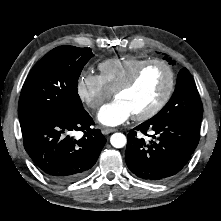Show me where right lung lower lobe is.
<instances>
[{
    "label": "right lung lower lobe",
    "mask_w": 221,
    "mask_h": 221,
    "mask_svg": "<svg viewBox=\"0 0 221 221\" xmlns=\"http://www.w3.org/2000/svg\"><path fill=\"white\" fill-rule=\"evenodd\" d=\"M83 109L69 116H52L21 127L24 148L49 179L69 183L82 178L96 163L106 142ZM82 131L80 139L70 136Z\"/></svg>",
    "instance_id": "98d812e1"
}]
</instances>
